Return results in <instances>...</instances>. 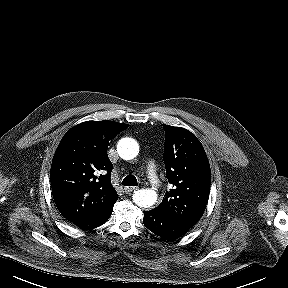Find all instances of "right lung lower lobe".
<instances>
[{"label":"right lung lower lobe","instance_id":"1","mask_svg":"<svg viewBox=\"0 0 288 288\" xmlns=\"http://www.w3.org/2000/svg\"><path fill=\"white\" fill-rule=\"evenodd\" d=\"M113 206H114V204L96 217L85 219V220L76 222L74 224L76 226L82 228V229H85V230L94 229V228L104 224L109 219V217L111 216V213L113 211Z\"/></svg>","mask_w":288,"mask_h":288}]
</instances>
